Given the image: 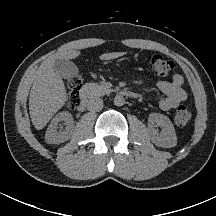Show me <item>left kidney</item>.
<instances>
[{"label":"left kidney","instance_id":"obj_1","mask_svg":"<svg viewBox=\"0 0 216 216\" xmlns=\"http://www.w3.org/2000/svg\"><path fill=\"white\" fill-rule=\"evenodd\" d=\"M156 125L163 127L160 134L155 129ZM147 130L151 141L155 145L163 148H171L176 146L177 137L175 129L167 116L160 113L149 114Z\"/></svg>","mask_w":216,"mask_h":216}]
</instances>
